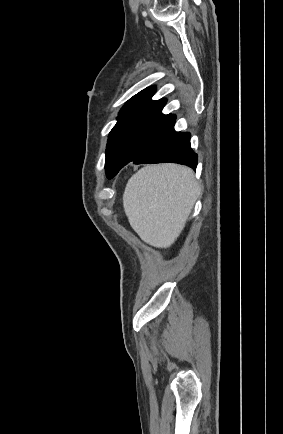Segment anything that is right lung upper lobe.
Instances as JSON below:
<instances>
[{"label": "right lung upper lobe", "mask_w": 283, "mask_h": 434, "mask_svg": "<svg viewBox=\"0 0 283 434\" xmlns=\"http://www.w3.org/2000/svg\"><path fill=\"white\" fill-rule=\"evenodd\" d=\"M155 91L156 88L152 86L140 91L137 95L133 96L121 109L118 118L144 115L161 119L174 120V115L162 114V109L167 101L166 99H160L155 101L151 100Z\"/></svg>", "instance_id": "right-lung-upper-lobe-1"}]
</instances>
